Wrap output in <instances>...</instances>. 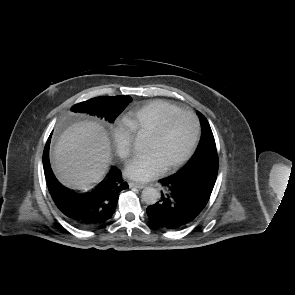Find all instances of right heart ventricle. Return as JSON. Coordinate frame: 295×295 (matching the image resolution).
I'll return each instance as SVG.
<instances>
[{
    "instance_id": "1",
    "label": "right heart ventricle",
    "mask_w": 295,
    "mask_h": 295,
    "mask_svg": "<svg viewBox=\"0 0 295 295\" xmlns=\"http://www.w3.org/2000/svg\"><path fill=\"white\" fill-rule=\"evenodd\" d=\"M179 110L181 109L173 103L155 100L129 111L124 116L123 123L133 134L149 135L164 117Z\"/></svg>"
}]
</instances>
